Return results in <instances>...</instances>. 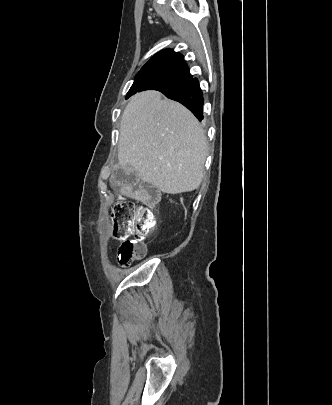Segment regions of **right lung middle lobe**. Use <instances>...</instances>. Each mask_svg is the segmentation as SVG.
<instances>
[{
	"instance_id": "right-lung-middle-lobe-1",
	"label": "right lung middle lobe",
	"mask_w": 332,
	"mask_h": 405,
	"mask_svg": "<svg viewBox=\"0 0 332 405\" xmlns=\"http://www.w3.org/2000/svg\"><path fill=\"white\" fill-rule=\"evenodd\" d=\"M185 81L180 76H173L160 72L138 73L129 91L162 90Z\"/></svg>"
}]
</instances>
